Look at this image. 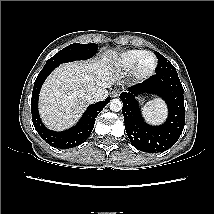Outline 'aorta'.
Returning a JSON list of instances; mask_svg holds the SVG:
<instances>
[{"label":"aorta","mask_w":214,"mask_h":214,"mask_svg":"<svg viewBox=\"0 0 214 214\" xmlns=\"http://www.w3.org/2000/svg\"><path fill=\"white\" fill-rule=\"evenodd\" d=\"M109 106L111 111L118 112L122 109L123 103L120 99L115 98L110 101Z\"/></svg>","instance_id":"aorta-1"}]
</instances>
